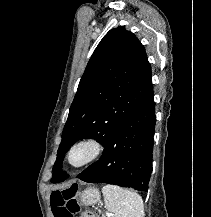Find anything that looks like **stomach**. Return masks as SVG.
<instances>
[{"mask_svg": "<svg viewBox=\"0 0 211 217\" xmlns=\"http://www.w3.org/2000/svg\"><path fill=\"white\" fill-rule=\"evenodd\" d=\"M80 202L84 205H92L100 200V192L96 188H87L79 195Z\"/></svg>", "mask_w": 211, "mask_h": 217, "instance_id": "1", "label": "stomach"}]
</instances>
